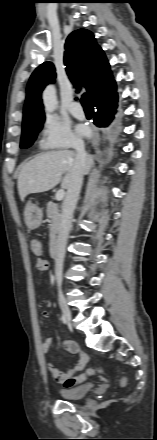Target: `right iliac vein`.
<instances>
[{
  "label": "right iliac vein",
  "instance_id": "1",
  "mask_svg": "<svg viewBox=\"0 0 157 440\" xmlns=\"http://www.w3.org/2000/svg\"><path fill=\"white\" fill-rule=\"evenodd\" d=\"M59 305L61 307V310L64 314V317L66 318V320L71 323L72 320V315H71V311L69 306L67 305V302L63 296V294L60 292L59 293Z\"/></svg>",
  "mask_w": 157,
  "mask_h": 440
}]
</instances>
